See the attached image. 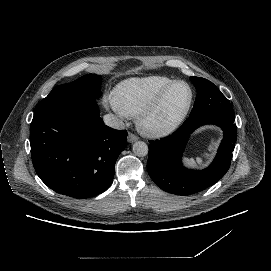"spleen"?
<instances>
[{"label": "spleen", "mask_w": 271, "mask_h": 271, "mask_svg": "<svg viewBox=\"0 0 271 271\" xmlns=\"http://www.w3.org/2000/svg\"><path fill=\"white\" fill-rule=\"evenodd\" d=\"M216 145H217L216 142H215L214 140H211V144L209 145L208 150H209V151L213 150L214 147H215ZM205 156H206V157H209V154L205 153ZM184 161H185V163H186L188 166H191V167H195V166H196V162H197L198 164H201V163H202V159H201L200 157H197V158H196V161H195L193 158H190V159L184 158Z\"/></svg>", "instance_id": "3e777b00"}]
</instances>
